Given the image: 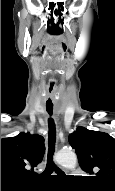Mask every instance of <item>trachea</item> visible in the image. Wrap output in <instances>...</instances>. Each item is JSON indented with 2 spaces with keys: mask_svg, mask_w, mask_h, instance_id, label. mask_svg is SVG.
Listing matches in <instances>:
<instances>
[{
  "mask_svg": "<svg viewBox=\"0 0 115 191\" xmlns=\"http://www.w3.org/2000/svg\"><path fill=\"white\" fill-rule=\"evenodd\" d=\"M47 112L51 116L53 114V108H47ZM48 126H49L48 158H47V165L43 174H50L53 171H56L58 174H63V171L59 169L53 162V154L55 151V141H56V129L54 120L52 118L48 119Z\"/></svg>",
  "mask_w": 115,
  "mask_h": 191,
  "instance_id": "3493384b",
  "label": "trachea"
}]
</instances>
